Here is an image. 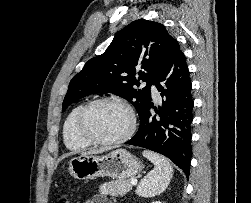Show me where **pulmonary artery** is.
<instances>
[{"label":"pulmonary artery","mask_w":251,"mask_h":203,"mask_svg":"<svg viewBox=\"0 0 251 203\" xmlns=\"http://www.w3.org/2000/svg\"><path fill=\"white\" fill-rule=\"evenodd\" d=\"M151 91L153 96L158 97V91L155 86H151Z\"/></svg>","instance_id":"1"}]
</instances>
